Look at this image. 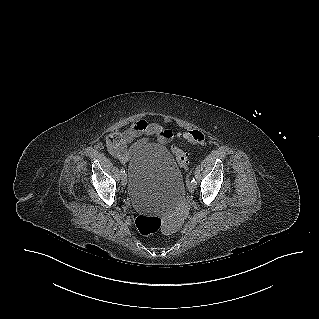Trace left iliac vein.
I'll return each mask as SVG.
<instances>
[{"label": "left iliac vein", "mask_w": 319, "mask_h": 319, "mask_svg": "<svg viewBox=\"0 0 319 319\" xmlns=\"http://www.w3.org/2000/svg\"><path fill=\"white\" fill-rule=\"evenodd\" d=\"M187 187H188V191H189L190 193H193V192L195 191L196 185H195V184H192V183H189V184L187 185Z\"/></svg>", "instance_id": "4c4485c4"}]
</instances>
